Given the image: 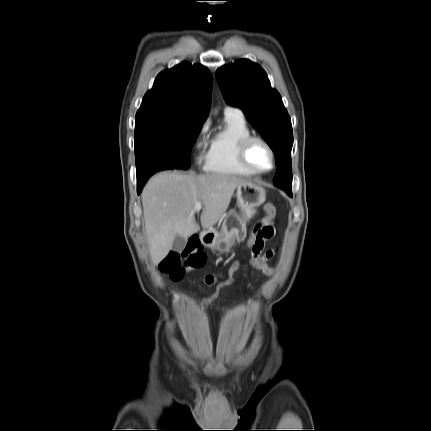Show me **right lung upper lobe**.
Here are the masks:
<instances>
[{"mask_svg":"<svg viewBox=\"0 0 431 431\" xmlns=\"http://www.w3.org/2000/svg\"><path fill=\"white\" fill-rule=\"evenodd\" d=\"M212 80L200 64L184 62L162 71L148 91L136 119L164 118L202 124L208 115Z\"/></svg>","mask_w":431,"mask_h":431,"instance_id":"obj_1","label":"right lung upper lobe"}]
</instances>
